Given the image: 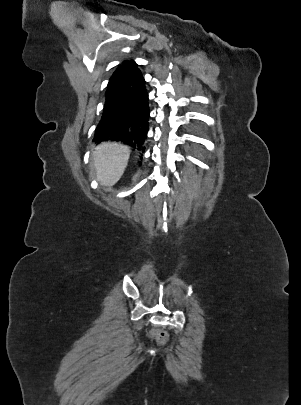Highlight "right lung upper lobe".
Here are the masks:
<instances>
[{
    "mask_svg": "<svg viewBox=\"0 0 301 405\" xmlns=\"http://www.w3.org/2000/svg\"><path fill=\"white\" fill-rule=\"evenodd\" d=\"M127 64H128L127 61H123L122 66L118 67V68L116 69V71L113 73V75H112V77H111L109 83L112 82L114 79H116V78L118 77V75L125 69V67L127 66Z\"/></svg>",
    "mask_w": 301,
    "mask_h": 405,
    "instance_id": "1",
    "label": "right lung upper lobe"
}]
</instances>
